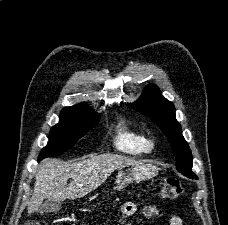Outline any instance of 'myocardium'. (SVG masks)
Here are the masks:
<instances>
[{
    "mask_svg": "<svg viewBox=\"0 0 228 225\" xmlns=\"http://www.w3.org/2000/svg\"><path fill=\"white\" fill-rule=\"evenodd\" d=\"M151 142H152V145H154V142L151 140Z\"/></svg>",
    "mask_w": 228,
    "mask_h": 225,
    "instance_id": "obj_1",
    "label": "myocardium"
}]
</instances>
